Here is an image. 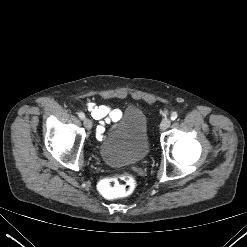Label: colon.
I'll return each instance as SVG.
<instances>
[{"label":"colon","instance_id":"1","mask_svg":"<svg viewBox=\"0 0 247 247\" xmlns=\"http://www.w3.org/2000/svg\"><path fill=\"white\" fill-rule=\"evenodd\" d=\"M135 187L136 179L128 173L108 177L100 184L101 193L109 199L127 196Z\"/></svg>","mask_w":247,"mask_h":247}]
</instances>
